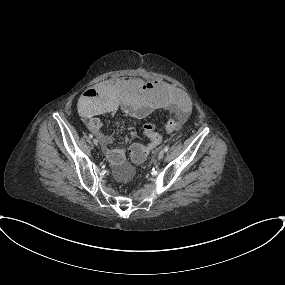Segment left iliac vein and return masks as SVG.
Here are the masks:
<instances>
[{"label": "left iliac vein", "mask_w": 285, "mask_h": 285, "mask_svg": "<svg viewBox=\"0 0 285 285\" xmlns=\"http://www.w3.org/2000/svg\"><path fill=\"white\" fill-rule=\"evenodd\" d=\"M164 154H165V151L164 150H161L159 153H158V159H162L164 157Z\"/></svg>", "instance_id": "obj_1"}]
</instances>
